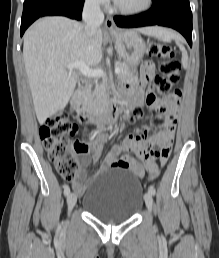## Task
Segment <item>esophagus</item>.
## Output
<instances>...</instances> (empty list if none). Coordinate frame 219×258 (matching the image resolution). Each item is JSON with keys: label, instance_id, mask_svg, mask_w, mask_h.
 I'll return each instance as SVG.
<instances>
[{"label": "esophagus", "instance_id": "34e87169", "mask_svg": "<svg viewBox=\"0 0 219 258\" xmlns=\"http://www.w3.org/2000/svg\"><path fill=\"white\" fill-rule=\"evenodd\" d=\"M105 30L109 33H117L119 32V29L116 27L113 18L111 16H108L105 21Z\"/></svg>", "mask_w": 219, "mask_h": 258}]
</instances>
